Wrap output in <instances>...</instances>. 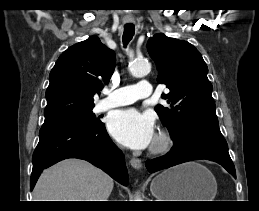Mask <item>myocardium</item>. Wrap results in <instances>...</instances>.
Instances as JSON below:
<instances>
[{
  "label": "myocardium",
  "instance_id": "f54148a6",
  "mask_svg": "<svg viewBox=\"0 0 259 211\" xmlns=\"http://www.w3.org/2000/svg\"><path fill=\"white\" fill-rule=\"evenodd\" d=\"M172 144L173 140L169 132L160 131L150 148V152L153 154L164 153L171 148Z\"/></svg>",
  "mask_w": 259,
  "mask_h": 211
}]
</instances>
